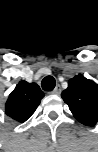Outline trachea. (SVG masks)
<instances>
[{
    "mask_svg": "<svg viewBox=\"0 0 98 152\" xmlns=\"http://www.w3.org/2000/svg\"><path fill=\"white\" fill-rule=\"evenodd\" d=\"M55 85L56 81L52 76H46L41 82L42 89L45 91H52Z\"/></svg>",
    "mask_w": 98,
    "mask_h": 152,
    "instance_id": "3493384b",
    "label": "trachea"
}]
</instances>
